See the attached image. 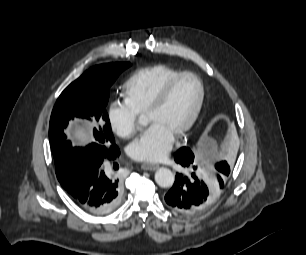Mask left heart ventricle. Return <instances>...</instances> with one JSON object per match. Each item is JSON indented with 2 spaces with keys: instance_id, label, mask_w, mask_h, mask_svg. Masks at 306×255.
<instances>
[{
  "instance_id": "b2bd125f",
  "label": "left heart ventricle",
  "mask_w": 306,
  "mask_h": 255,
  "mask_svg": "<svg viewBox=\"0 0 306 255\" xmlns=\"http://www.w3.org/2000/svg\"><path fill=\"white\" fill-rule=\"evenodd\" d=\"M200 95L198 82L184 77L174 86L164 104L147 115L150 123H159L173 135L186 123L193 113Z\"/></svg>"
}]
</instances>
